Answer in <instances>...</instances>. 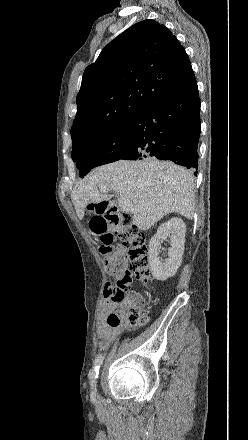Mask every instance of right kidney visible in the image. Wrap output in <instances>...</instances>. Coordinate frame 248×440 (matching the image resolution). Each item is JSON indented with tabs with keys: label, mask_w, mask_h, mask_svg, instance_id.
<instances>
[{
	"label": "right kidney",
	"mask_w": 248,
	"mask_h": 440,
	"mask_svg": "<svg viewBox=\"0 0 248 440\" xmlns=\"http://www.w3.org/2000/svg\"><path fill=\"white\" fill-rule=\"evenodd\" d=\"M186 225L181 218L173 217L162 223L157 233L149 242L148 264L152 276L164 281L172 277L181 265L184 253ZM170 238V248L168 249V259L160 261L159 252L161 243Z\"/></svg>",
	"instance_id": "obj_1"
}]
</instances>
